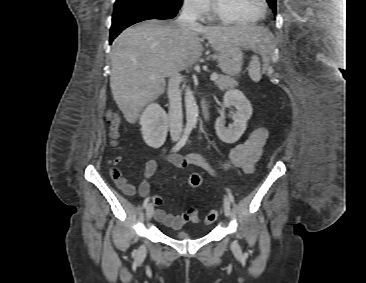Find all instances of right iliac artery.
Wrapping results in <instances>:
<instances>
[{
	"label": "right iliac artery",
	"instance_id": "obj_1",
	"mask_svg": "<svg viewBox=\"0 0 366 283\" xmlns=\"http://www.w3.org/2000/svg\"><path fill=\"white\" fill-rule=\"evenodd\" d=\"M191 131H192V126H186V128L184 130V133H183L181 139L175 145V147L173 149V152H177L178 150H180L185 145ZM148 203H149V197L144 200L143 208H146L148 206Z\"/></svg>",
	"mask_w": 366,
	"mask_h": 283
}]
</instances>
